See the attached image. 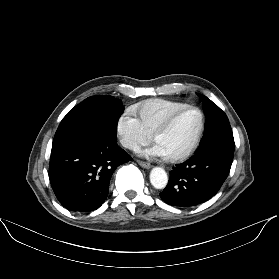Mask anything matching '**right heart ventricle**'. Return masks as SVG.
Returning <instances> with one entry per match:
<instances>
[{"instance_id": "obj_1", "label": "right heart ventricle", "mask_w": 279, "mask_h": 279, "mask_svg": "<svg viewBox=\"0 0 279 279\" xmlns=\"http://www.w3.org/2000/svg\"><path fill=\"white\" fill-rule=\"evenodd\" d=\"M186 105L167 99H150L134 105L132 110L137 114L144 129L153 134L172 112Z\"/></svg>"}]
</instances>
